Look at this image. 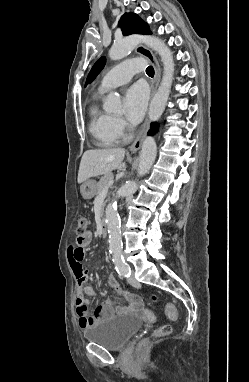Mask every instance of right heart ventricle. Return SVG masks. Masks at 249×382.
I'll use <instances>...</instances> for the list:
<instances>
[{"mask_svg": "<svg viewBox=\"0 0 249 382\" xmlns=\"http://www.w3.org/2000/svg\"><path fill=\"white\" fill-rule=\"evenodd\" d=\"M102 93L103 92L99 91L89 107L90 132L99 146L109 147L114 145L119 137L114 133L112 128V115L99 106L98 99Z\"/></svg>", "mask_w": 249, "mask_h": 382, "instance_id": "e07e8e85", "label": "right heart ventricle"}]
</instances>
